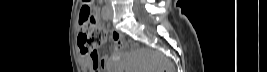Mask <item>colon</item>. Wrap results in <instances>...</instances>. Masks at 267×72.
I'll list each match as a JSON object with an SVG mask.
<instances>
[{
  "label": "colon",
  "mask_w": 267,
  "mask_h": 72,
  "mask_svg": "<svg viewBox=\"0 0 267 72\" xmlns=\"http://www.w3.org/2000/svg\"><path fill=\"white\" fill-rule=\"evenodd\" d=\"M95 0H83L82 8L80 11V25L81 34L78 38V45L82 53L92 54L96 51V47L101 45L105 38L106 33L98 23L97 10ZM173 67L168 62L163 63V72H172Z\"/></svg>",
  "instance_id": "5ec220e1"
}]
</instances>
